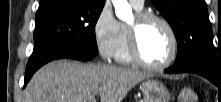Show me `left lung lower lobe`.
<instances>
[{"mask_svg":"<svg viewBox=\"0 0 221 102\" xmlns=\"http://www.w3.org/2000/svg\"><path fill=\"white\" fill-rule=\"evenodd\" d=\"M166 73H183V72H191L199 74L210 81H212L216 85L221 84V76L217 74L215 70L209 67L206 64L199 62H187L174 65L173 67L166 69Z\"/></svg>","mask_w":221,"mask_h":102,"instance_id":"1","label":"left lung lower lobe"}]
</instances>
